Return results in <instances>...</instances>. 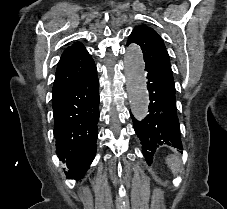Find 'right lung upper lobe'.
I'll list each match as a JSON object with an SVG mask.
<instances>
[{"label":"right lung upper lobe","instance_id":"cb5924a9","mask_svg":"<svg viewBox=\"0 0 227 209\" xmlns=\"http://www.w3.org/2000/svg\"><path fill=\"white\" fill-rule=\"evenodd\" d=\"M91 63H93L91 55H89L85 47L80 42H76L72 46L67 47L63 52L57 66V72H60V70L66 66L86 67ZM78 79V76L70 78L58 77V79L54 81L52 91L53 96L60 95L66 91L75 82H77Z\"/></svg>","mask_w":227,"mask_h":209}]
</instances>
